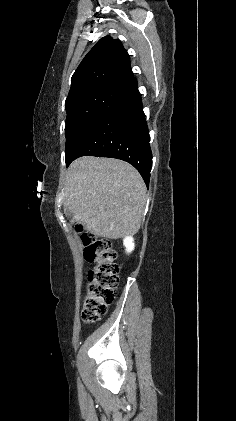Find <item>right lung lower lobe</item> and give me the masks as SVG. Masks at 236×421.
<instances>
[{"label": "right lung lower lobe", "instance_id": "98d812e1", "mask_svg": "<svg viewBox=\"0 0 236 421\" xmlns=\"http://www.w3.org/2000/svg\"><path fill=\"white\" fill-rule=\"evenodd\" d=\"M121 86L129 95L81 140L68 165L85 155L121 159L132 164L148 186L152 153L137 79L131 76Z\"/></svg>", "mask_w": 236, "mask_h": 421}]
</instances>
